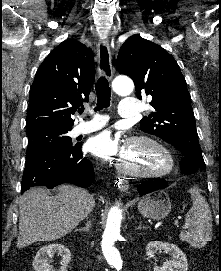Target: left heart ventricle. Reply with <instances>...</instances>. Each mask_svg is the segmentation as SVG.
<instances>
[{"label":"left heart ventricle","mask_w":221,"mask_h":271,"mask_svg":"<svg viewBox=\"0 0 221 271\" xmlns=\"http://www.w3.org/2000/svg\"><path fill=\"white\" fill-rule=\"evenodd\" d=\"M139 141H145V140H139ZM134 153H143V152H132V155ZM129 164H133V167H141L144 166H160V165H151L150 161H144V159H129Z\"/></svg>","instance_id":"b2bd125f"}]
</instances>
